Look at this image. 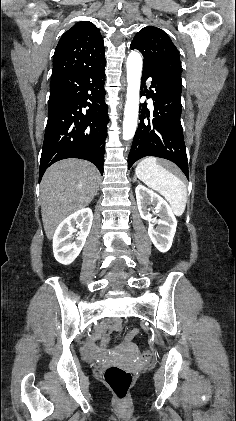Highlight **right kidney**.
I'll return each mask as SVG.
<instances>
[{"label": "right kidney", "instance_id": "right-kidney-1", "mask_svg": "<svg viewBox=\"0 0 236 421\" xmlns=\"http://www.w3.org/2000/svg\"><path fill=\"white\" fill-rule=\"evenodd\" d=\"M93 213L91 208H80L73 215H69L57 227L53 237V253L56 261L61 265H70L82 251L85 241L92 227ZM80 229L79 237L73 239L72 233Z\"/></svg>", "mask_w": 236, "mask_h": 421}]
</instances>
